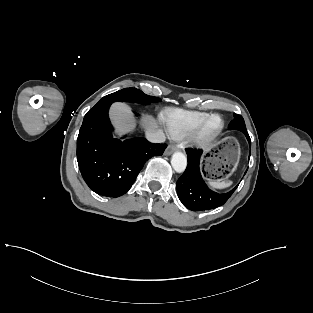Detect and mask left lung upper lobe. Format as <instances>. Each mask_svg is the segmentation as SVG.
<instances>
[{
  "instance_id": "left-lung-upper-lobe-1",
  "label": "left lung upper lobe",
  "mask_w": 313,
  "mask_h": 313,
  "mask_svg": "<svg viewBox=\"0 0 313 313\" xmlns=\"http://www.w3.org/2000/svg\"><path fill=\"white\" fill-rule=\"evenodd\" d=\"M228 128L229 130H239L242 132H247L243 117L235 113L234 119L230 122Z\"/></svg>"
}]
</instances>
